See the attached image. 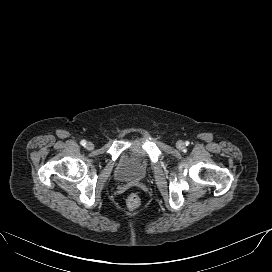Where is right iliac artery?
Masks as SVG:
<instances>
[{
	"label": "right iliac artery",
	"mask_w": 272,
	"mask_h": 272,
	"mask_svg": "<svg viewBox=\"0 0 272 272\" xmlns=\"http://www.w3.org/2000/svg\"><path fill=\"white\" fill-rule=\"evenodd\" d=\"M80 144H81L82 146H84V145H86V141H85V140H81Z\"/></svg>",
	"instance_id": "right-iliac-artery-1"
}]
</instances>
